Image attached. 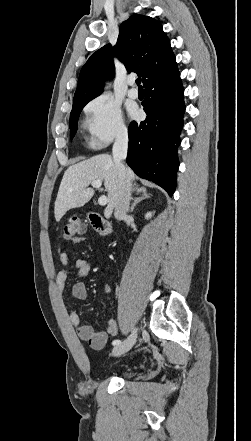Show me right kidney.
Masks as SVG:
<instances>
[{
  "label": "right kidney",
  "mask_w": 251,
  "mask_h": 441,
  "mask_svg": "<svg viewBox=\"0 0 251 441\" xmlns=\"http://www.w3.org/2000/svg\"><path fill=\"white\" fill-rule=\"evenodd\" d=\"M152 217V212H148V213H146V215H145V219H149V218H151Z\"/></svg>",
  "instance_id": "obj_1"
}]
</instances>
